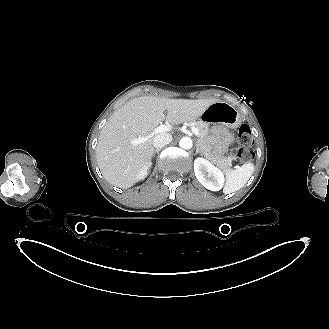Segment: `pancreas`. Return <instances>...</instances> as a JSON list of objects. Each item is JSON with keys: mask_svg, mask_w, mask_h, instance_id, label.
<instances>
[{"mask_svg": "<svg viewBox=\"0 0 329 329\" xmlns=\"http://www.w3.org/2000/svg\"><path fill=\"white\" fill-rule=\"evenodd\" d=\"M189 124L193 125L199 130V140L198 146L203 151L204 156L210 160L213 164L220 167L223 171H227L232 166V160L230 157H221L218 153L213 151L209 141H208V134H209V126L207 123L203 121H192L188 122Z\"/></svg>", "mask_w": 329, "mask_h": 329, "instance_id": "1", "label": "pancreas"}]
</instances>
